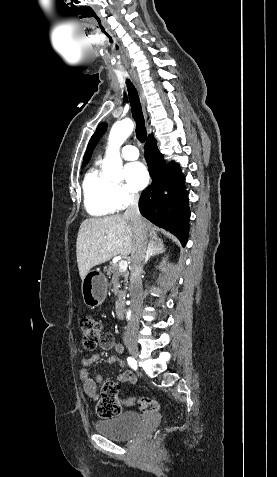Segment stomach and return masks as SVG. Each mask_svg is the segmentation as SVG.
<instances>
[{
	"label": "stomach",
	"mask_w": 277,
	"mask_h": 477,
	"mask_svg": "<svg viewBox=\"0 0 277 477\" xmlns=\"http://www.w3.org/2000/svg\"><path fill=\"white\" fill-rule=\"evenodd\" d=\"M107 279L99 271H89L82 279L81 293L86 306L95 308L101 305L107 294Z\"/></svg>",
	"instance_id": "obj_1"
}]
</instances>
